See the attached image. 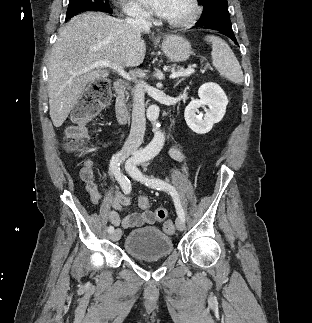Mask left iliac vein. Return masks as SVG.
Segmentation results:
<instances>
[{
    "instance_id": "4c4485c4",
    "label": "left iliac vein",
    "mask_w": 312,
    "mask_h": 323,
    "mask_svg": "<svg viewBox=\"0 0 312 323\" xmlns=\"http://www.w3.org/2000/svg\"><path fill=\"white\" fill-rule=\"evenodd\" d=\"M176 226L179 231H184L185 229V223L180 217L176 219Z\"/></svg>"
}]
</instances>
